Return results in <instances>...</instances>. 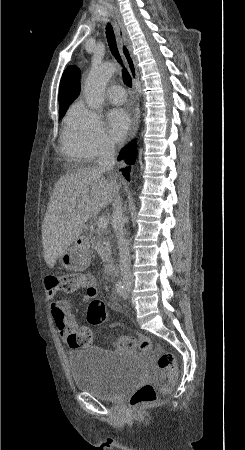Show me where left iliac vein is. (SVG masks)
<instances>
[{"label": "left iliac vein", "instance_id": "1", "mask_svg": "<svg viewBox=\"0 0 245 450\" xmlns=\"http://www.w3.org/2000/svg\"><path fill=\"white\" fill-rule=\"evenodd\" d=\"M129 293H130V290H128V289L126 288V290H125V292H124V294H123V298H124V299H127L128 296H129Z\"/></svg>", "mask_w": 245, "mask_h": 450}]
</instances>
